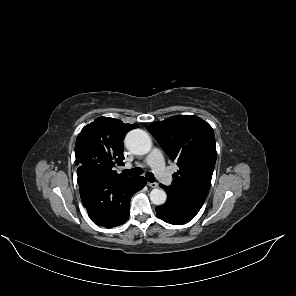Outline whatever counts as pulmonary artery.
<instances>
[{
    "instance_id": "e3ab8cb5",
    "label": "pulmonary artery",
    "mask_w": 296,
    "mask_h": 296,
    "mask_svg": "<svg viewBox=\"0 0 296 296\" xmlns=\"http://www.w3.org/2000/svg\"><path fill=\"white\" fill-rule=\"evenodd\" d=\"M145 163L149 165L158 178L165 184H171L172 177L165 167L163 153L159 148H154L145 158ZM130 164L124 166L125 169L130 168Z\"/></svg>"
}]
</instances>
